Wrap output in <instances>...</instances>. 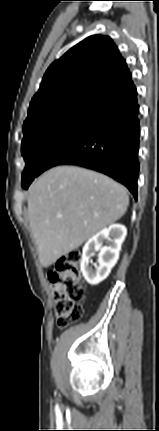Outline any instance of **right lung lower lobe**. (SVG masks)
I'll return each instance as SVG.
<instances>
[{"instance_id":"right-lung-lower-lobe-1","label":"right lung lower lobe","mask_w":159,"mask_h":431,"mask_svg":"<svg viewBox=\"0 0 159 431\" xmlns=\"http://www.w3.org/2000/svg\"><path fill=\"white\" fill-rule=\"evenodd\" d=\"M138 113L137 91L94 112L48 150L38 175L56 165H77L114 178L137 199ZM31 182L23 188L27 189Z\"/></svg>"}]
</instances>
